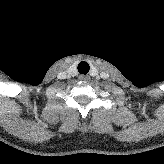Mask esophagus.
Listing matches in <instances>:
<instances>
[{
	"instance_id": "obj_1",
	"label": "esophagus",
	"mask_w": 164,
	"mask_h": 164,
	"mask_svg": "<svg viewBox=\"0 0 164 164\" xmlns=\"http://www.w3.org/2000/svg\"><path fill=\"white\" fill-rule=\"evenodd\" d=\"M89 78H90L89 76L83 75V74L79 76V79H80L81 81H88Z\"/></svg>"
}]
</instances>
